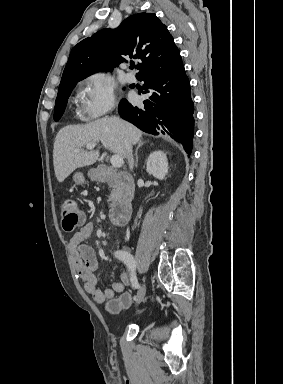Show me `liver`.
<instances>
[{
    "instance_id": "1",
    "label": "liver",
    "mask_w": 283,
    "mask_h": 384,
    "mask_svg": "<svg viewBox=\"0 0 283 384\" xmlns=\"http://www.w3.org/2000/svg\"><path fill=\"white\" fill-rule=\"evenodd\" d=\"M140 138L142 132L120 118H101L85 126H65L58 132L54 142L55 176L58 182H64L76 168L92 166L97 162L98 150L86 152L83 150L86 144L101 142L104 148L116 156L126 158L125 142L134 146L136 142H140ZM78 148L80 152H74Z\"/></svg>"
}]
</instances>
